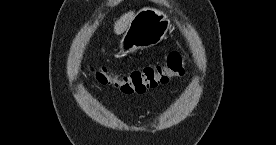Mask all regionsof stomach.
<instances>
[{"mask_svg": "<svg viewBox=\"0 0 276 145\" xmlns=\"http://www.w3.org/2000/svg\"><path fill=\"white\" fill-rule=\"evenodd\" d=\"M171 27L167 15L158 9L145 7L133 17L120 41V49L128 53L160 43Z\"/></svg>", "mask_w": 276, "mask_h": 145, "instance_id": "stomach-1", "label": "stomach"}]
</instances>
